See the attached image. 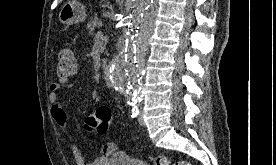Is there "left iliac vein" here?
<instances>
[{
    "label": "left iliac vein",
    "instance_id": "left-iliac-vein-1",
    "mask_svg": "<svg viewBox=\"0 0 276 165\" xmlns=\"http://www.w3.org/2000/svg\"><path fill=\"white\" fill-rule=\"evenodd\" d=\"M138 122L140 125L144 126L145 122H144V118H143V114L140 112L138 115Z\"/></svg>",
    "mask_w": 276,
    "mask_h": 165
}]
</instances>
